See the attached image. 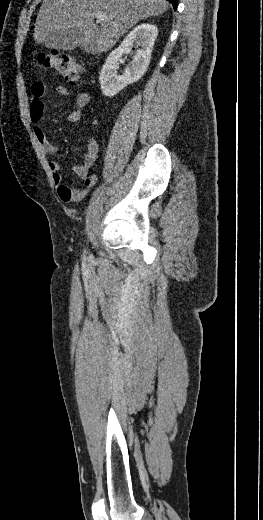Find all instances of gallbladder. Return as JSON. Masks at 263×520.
Returning a JSON list of instances; mask_svg holds the SVG:
<instances>
[{
  "label": "gallbladder",
  "mask_w": 263,
  "mask_h": 520,
  "mask_svg": "<svg viewBox=\"0 0 263 520\" xmlns=\"http://www.w3.org/2000/svg\"><path fill=\"white\" fill-rule=\"evenodd\" d=\"M83 31L75 28L71 33L62 34L57 31L55 34H51L46 45L48 48L60 49V50H73L78 46V40L82 37Z\"/></svg>",
  "instance_id": "1"
}]
</instances>
